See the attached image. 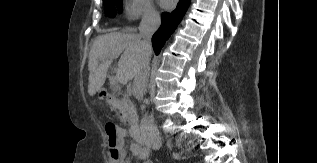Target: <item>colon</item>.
<instances>
[{"instance_id":"1","label":"colon","mask_w":317,"mask_h":163,"mask_svg":"<svg viewBox=\"0 0 317 163\" xmlns=\"http://www.w3.org/2000/svg\"><path fill=\"white\" fill-rule=\"evenodd\" d=\"M106 133L108 136L110 155L115 161H117L122 156V152L118 149V145L120 143L118 129L113 124H108L106 125Z\"/></svg>"}]
</instances>
